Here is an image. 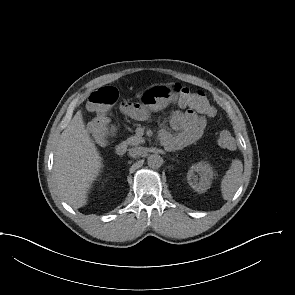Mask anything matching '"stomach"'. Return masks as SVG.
<instances>
[{
  "mask_svg": "<svg viewBox=\"0 0 295 295\" xmlns=\"http://www.w3.org/2000/svg\"><path fill=\"white\" fill-rule=\"evenodd\" d=\"M172 90L164 85L150 87L140 96V103L150 111H158L165 108L171 101Z\"/></svg>",
  "mask_w": 295,
  "mask_h": 295,
  "instance_id": "obj_1",
  "label": "stomach"
}]
</instances>
